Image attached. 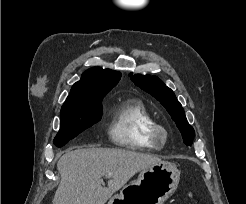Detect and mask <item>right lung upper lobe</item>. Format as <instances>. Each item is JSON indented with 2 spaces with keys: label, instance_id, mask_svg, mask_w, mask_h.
<instances>
[{
  "label": "right lung upper lobe",
  "instance_id": "1",
  "mask_svg": "<svg viewBox=\"0 0 246 204\" xmlns=\"http://www.w3.org/2000/svg\"><path fill=\"white\" fill-rule=\"evenodd\" d=\"M121 78L119 72L93 67L86 70L76 82L63 105L81 103L92 97L105 96Z\"/></svg>",
  "mask_w": 246,
  "mask_h": 204
}]
</instances>
